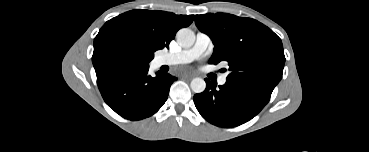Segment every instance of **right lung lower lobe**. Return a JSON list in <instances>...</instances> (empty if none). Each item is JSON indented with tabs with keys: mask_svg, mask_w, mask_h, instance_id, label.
I'll use <instances>...</instances> for the list:
<instances>
[{
	"mask_svg": "<svg viewBox=\"0 0 369 152\" xmlns=\"http://www.w3.org/2000/svg\"><path fill=\"white\" fill-rule=\"evenodd\" d=\"M148 70L149 67L128 70L97 81L107 105L129 120H141L156 113L177 78L160 72L151 77Z\"/></svg>",
	"mask_w": 369,
	"mask_h": 152,
	"instance_id": "obj_1",
	"label": "right lung lower lobe"
}]
</instances>
